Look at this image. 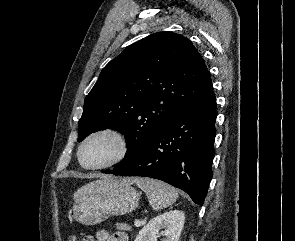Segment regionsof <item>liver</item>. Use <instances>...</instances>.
Segmentation results:
<instances>
[{
    "mask_svg": "<svg viewBox=\"0 0 295 241\" xmlns=\"http://www.w3.org/2000/svg\"><path fill=\"white\" fill-rule=\"evenodd\" d=\"M111 179H112V177H110V176H104L103 179L97 180L95 182L96 183H101V182L108 181V180H111ZM95 182H92V183L87 184V185L83 186L82 188H80L77 192L74 193V198H76L80 193H82L84 190L89 188L90 185H92ZM125 182L128 183V184H132L134 182V179L133 178H126Z\"/></svg>",
    "mask_w": 295,
    "mask_h": 241,
    "instance_id": "obj_1",
    "label": "liver"
}]
</instances>
